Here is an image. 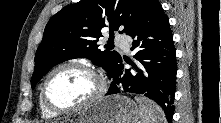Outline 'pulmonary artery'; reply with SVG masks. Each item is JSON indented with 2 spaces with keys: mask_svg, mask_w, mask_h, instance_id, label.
<instances>
[{
  "mask_svg": "<svg viewBox=\"0 0 221 123\" xmlns=\"http://www.w3.org/2000/svg\"><path fill=\"white\" fill-rule=\"evenodd\" d=\"M116 43L124 50L128 51L129 49V42L128 38L125 37L124 35H117L115 37Z\"/></svg>",
  "mask_w": 221,
  "mask_h": 123,
  "instance_id": "pulmonary-artery-1",
  "label": "pulmonary artery"
}]
</instances>
